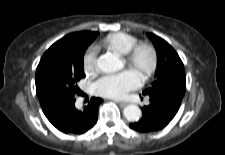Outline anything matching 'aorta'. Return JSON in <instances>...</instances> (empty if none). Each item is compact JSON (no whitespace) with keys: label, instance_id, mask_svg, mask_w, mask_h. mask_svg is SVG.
<instances>
[{"label":"aorta","instance_id":"aorta-1","mask_svg":"<svg viewBox=\"0 0 225 155\" xmlns=\"http://www.w3.org/2000/svg\"><path fill=\"white\" fill-rule=\"evenodd\" d=\"M97 67L104 73H112L123 67L118 56L108 53L101 55L97 60ZM125 118L130 122H136L141 117V109L134 104L126 106L123 110Z\"/></svg>","mask_w":225,"mask_h":155}]
</instances>
